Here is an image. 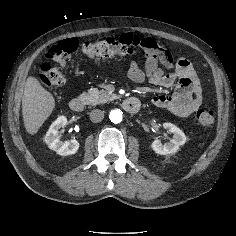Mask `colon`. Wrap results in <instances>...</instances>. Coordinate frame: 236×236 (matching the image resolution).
<instances>
[{"instance_id": "obj_1", "label": "colon", "mask_w": 236, "mask_h": 236, "mask_svg": "<svg viewBox=\"0 0 236 236\" xmlns=\"http://www.w3.org/2000/svg\"><path fill=\"white\" fill-rule=\"evenodd\" d=\"M133 45L117 41L114 38H105L97 41H87L82 46L83 53L92 59H106L112 57L127 58L134 53ZM78 48V41L74 38L66 39L52 46L46 53L47 61L43 62L40 68V82L48 88L58 87L65 83V75L59 67L70 60L71 54ZM147 57L150 52H147ZM198 123L203 128L213 126L215 117L210 109H201L196 114Z\"/></svg>"}]
</instances>
